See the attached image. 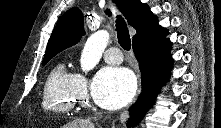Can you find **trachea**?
I'll use <instances>...</instances> for the list:
<instances>
[{
    "label": "trachea",
    "instance_id": "obj_1",
    "mask_svg": "<svg viewBox=\"0 0 221 128\" xmlns=\"http://www.w3.org/2000/svg\"><path fill=\"white\" fill-rule=\"evenodd\" d=\"M116 30H117V38H118V42L120 46L124 50H130L131 39H130L129 31H128L125 21L120 16H117Z\"/></svg>",
    "mask_w": 221,
    "mask_h": 128
}]
</instances>
